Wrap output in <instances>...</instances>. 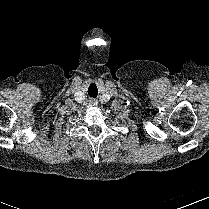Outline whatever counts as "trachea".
<instances>
[{
  "instance_id": "3493384b",
  "label": "trachea",
  "mask_w": 209,
  "mask_h": 209,
  "mask_svg": "<svg viewBox=\"0 0 209 209\" xmlns=\"http://www.w3.org/2000/svg\"><path fill=\"white\" fill-rule=\"evenodd\" d=\"M89 92H91V93H90V96H92V97H96V96H97L98 90H97V87H96L95 84H92V85L89 87Z\"/></svg>"
}]
</instances>
